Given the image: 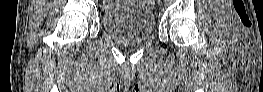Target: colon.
<instances>
[{"label": "colon", "instance_id": "5ec220e1", "mask_svg": "<svg viewBox=\"0 0 263 92\" xmlns=\"http://www.w3.org/2000/svg\"><path fill=\"white\" fill-rule=\"evenodd\" d=\"M143 2H146V3H148V4H151L153 1H143ZM110 4H113V3H110ZM113 6V5H112Z\"/></svg>", "mask_w": 263, "mask_h": 92}]
</instances>
